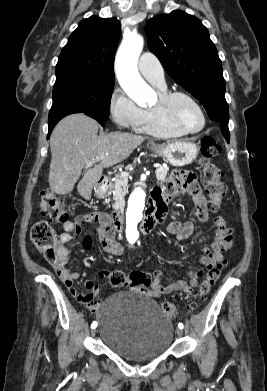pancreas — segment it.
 Returning a JSON list of instances; mask_svg holds the SVG:
<instances>
[{"mask_svg":"<svg viewBox=\"0 0 267 391\" xmlns=\"http://www.w3.org/2000/svg\"><path fill=\"white\" fill-rule=\"evenodd\" d=\"M169 171L168 167L160 166L156 170V177L158 180H165L167 173ZM128 187V179L126 177L117 176L116 179L109 184L110 190H112L114 194V200L118 201L124 197L127 193Z\"/></svg>","mask_w":267,"mask_h":391,"instance_id":"obj_1","label":"pancreas"}]
</instances>
